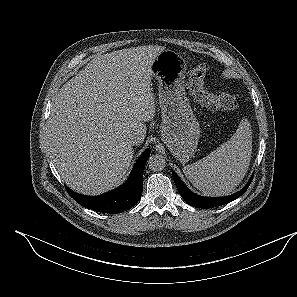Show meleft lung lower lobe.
Instances as JSON below:
<instances>
[{"mask_svg": "<svg viewBox=\"0 0 297 297\" xmlns=\"http://www.w3.org/2000/svg\"><path fill=\"white\" fill-rule=\"evenodd\" d=\"M172 176L173 180L176 184V187L182 196V198L191 206L196 207V208H212V207H217L221 206L224 204H227L238 197H240L242 194L245 193V191L248 189L252 179L253 175L251 176L250 180L248 183L245 185L243 189L238 191L235 194L229 195V196H224V197H202L198 196L194 193H192L180 180V178L176 175L175 172L172 171Z\"/></svg>", "mask_w": 297, "mask_h": 297, "instance_id": "1", "label": "left lung lower lobe"}]
</instances>
